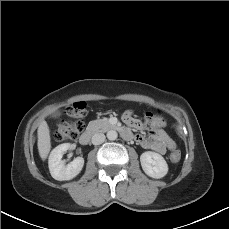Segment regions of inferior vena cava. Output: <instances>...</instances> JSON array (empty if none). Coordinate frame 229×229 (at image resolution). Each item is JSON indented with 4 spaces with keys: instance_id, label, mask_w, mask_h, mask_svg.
Segmentation results:
<instances>
[{
    "instance_id": "obj_1",
    "label": "inferior vena cava",
    "mask_w": 229,
    "mask_h": 229,
    "mask_svg": "<svg viewBox=\"0 0 229 229\" xmlns=\"http://www.w3.org/2000/svg\"><path fill=\"white\" fill-rule=\"evenodd\" d=\"M105 141V135L103 133H95L92 136V143L93 145L102 144Z\"/></svg>"
}]
</instances>
